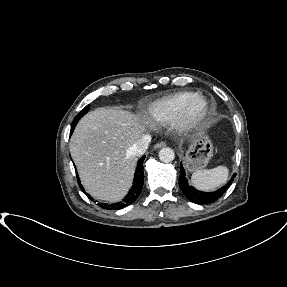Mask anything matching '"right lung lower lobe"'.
Returning a JSON list of instances; mask_svg holds the SVG:
<instances>
[{
  "mask_svg": "<svg viewBox=\"0 0 287 287\" xmlns=\"http://www.w3.org/2000/svg\"><path fill=\"white\" fill-rule=\"evenodd\" d=\"M74 128H71V133L73 132ZM145 159V156H143L137 164V168L135 171V176L133 180V185L131 189L129 190V193L127 196L120 202L114 203V204H104V203H99V205L108 210H118L122 209L130 204H132L140 195L143 187V182H144V172H143V161ZM78 178V177H77ZM78 182L80 184V180L78 178ZM81 189L84 191L83 187L80 186ZM89 199L92 200V198L89 196V194H86Z\"/></svg>",
  "mask_w": 287,
  "mask_h": 287,
  "instance_id": "98d812e1",
  "label": "right lung lower lobe"
}]
</instances>
